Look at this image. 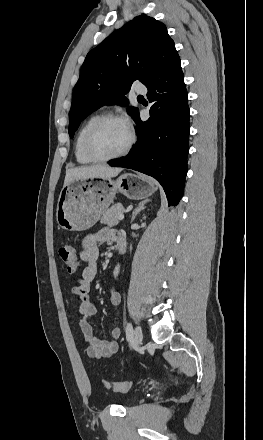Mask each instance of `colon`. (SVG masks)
I'll return each instance as SVG.
<instances>
[{"mask_svg": "<svg viewBox=\"0 0 263 440\" xmlns=\"http://www.w3.org/2000/svg\"><path fill=\"white\" fill-rule=\"evenodd\" d=\"M59 256L69 272H76L80 263L76 255L75 247L70 243H64L59 248ZM104 386L114 392H126L130 385L127 382L104 381Z\"/></svg>", "mask_w": 263, "mask_h": 440, "instance_id": "obj_1", "label": "colon"}]
</instances>
